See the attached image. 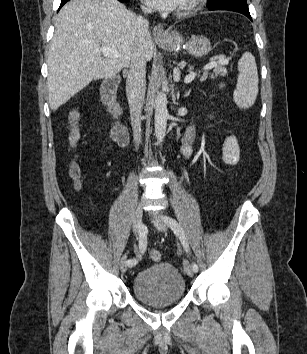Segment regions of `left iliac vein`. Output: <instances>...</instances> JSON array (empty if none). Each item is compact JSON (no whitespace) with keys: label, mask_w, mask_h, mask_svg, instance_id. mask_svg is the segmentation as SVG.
I'll list each match as a JSON object with an SVG mask.
<instances>
[{"label":"left iliac vein","mask_w":307,"mask_h":354,"mask_svg":"<svg viewBox=\"0 0 307 354\" xmlns=\"http://www.w3.org/2000/svg\"><path fill=\"white\" fill-rule=\"evenodd\" d=\"M153 220H154L155 227L159 231H166L167 230L166 223H165V221H164L162 216H157L156 215V216L153 217ZM184 271L190 277H192L193 274H194V271L192 270V267H191L190 263L187 260L184 261Z\"/></svg>","instance_id":"left-iliac-vein-1"}]
</instances>
